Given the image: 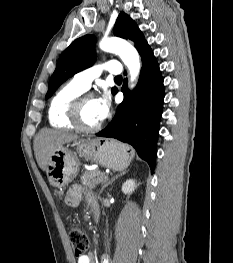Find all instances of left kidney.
Listing matches in <instances>:
<instances>
[{
  "mask_svg": "<svg viewBox=\"0 0 233 263\" xmlns=\"http://www.w3.org/2000/svg\"><path fill=\"white\" fill-rule=\"evenodd\" d=\"M136 188V183L134 180L129 179L127 180L123 185H122V192L124 194H132V192L135 190Z\"/></svg>",
  "mask_w": 233,
  "mask_h": 263,
  "instance_id": "1",
  "label": "left kidney"
}]
</instances>
